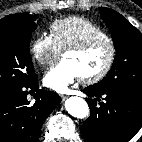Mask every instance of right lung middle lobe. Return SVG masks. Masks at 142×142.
Returning <instances> with one entry per match:
<instances>
[{"label": "right lung middle lobe", "instance_id": "obj_1", "mask_svg": "<svg viewBox=\"0 0 142 142\" xmlns=\"http://www.w3.org/2000/svg\"><path fill=\"white\" fill-rule=\"evenodd\" d=\"M35 20L30 14H13L0 20V96L37 78L29 53Z\"/></svg>", "mask_w": 142, "mask_h": 142}]
</instances>
